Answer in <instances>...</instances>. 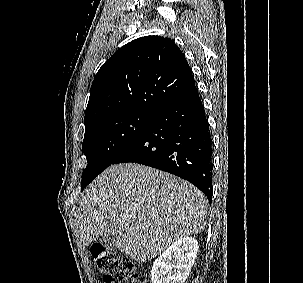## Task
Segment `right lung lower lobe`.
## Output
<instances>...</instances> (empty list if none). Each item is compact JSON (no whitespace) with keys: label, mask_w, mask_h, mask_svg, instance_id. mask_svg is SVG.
I'll return each instance as SVG.
<instances>
[{"label":"right lung lower lobe","mask_w":303,"mask_h":283,"mask_svg":"<svg viewBox=\"0 0 303 283\" xmlns=\"http://www.w3.org/2000/svg\"><path fill=\"white\" fill-rule=\"evenodd\" d=\"M133 162L179 176L212 199V140L195 88L160 109L113 162Z\"/></svg>","instance_id":"98d812e1"}]
</instances>
